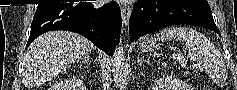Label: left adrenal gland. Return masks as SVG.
Masks as SVG:
<instances>
[{
	"mask_svg": "<svg viewBox=\"0 0 237 90\" xmlns=\"http://www.w3.org/2000/svg\"><path fill=\"white\" fill-rule=\"evenodd\" d=\"M143 62H145L144 58H140V56H138L137 64H139V66H141V64H143Z\"/></svg>",
	"mask_w": 237,
	"mask_h": 90,
	"instance_id": "obj_1",
	"label": "left adrenal gland"
}]
</instances>
